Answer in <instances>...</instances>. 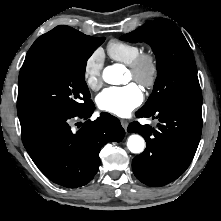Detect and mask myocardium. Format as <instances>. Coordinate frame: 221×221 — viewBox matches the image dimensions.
<instances>
[{
    "label": "myocardium",
    "instance_id": "f54148a6",
    "mask_svg": "<svg viewBox=\"0 0 221 221\" xmlns=\"http://www.w3.org/2000/svg\"><path fill=\"white\" fill-rule=\"evenodd\" d=\"M132 77L145 88H152L158 78V60L152 52H140L129 65Z\"/></svg>",
    "mask_w": 221,
    "mask_h": 221
}]
</instances>
